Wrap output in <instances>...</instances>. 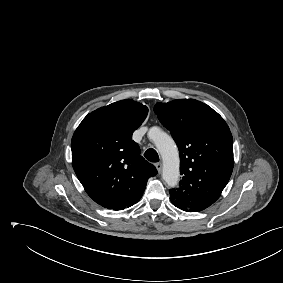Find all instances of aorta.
I'll return each instance as SVG.
<instances>
[{"label": "aorta", "instance_id": "obj_1", "mask_svg": "<svg viewBox=\"0 0 283 283\" xmlns=\"http://www.w3.org/2000/svg\"><path fill=\"white\" fill-rule=\"evenodd\" d=\"M149 138L154 142L163 160L162 177L169 187H174L179 182L180 159L178 148L174 140L157 127L149 130Z\"/></svg>", "mask_w": 283, "mask_h": 283}]
</instances>
